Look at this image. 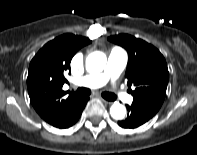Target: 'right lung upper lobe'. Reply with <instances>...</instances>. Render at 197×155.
Masks as SVG:
<instances>
[{
  "label": "right lung upper lobe",
  "mask_w": 197,
  "mask_h": 155,
  "mask_svg": "<svg viewBox=\"0 0 197 155\" xmlns=\"http://www.w3.org/2000/svg\"><path fill=\"white\" fill-rule=\"evenodd\" d=\"M91 40L64 34L45 44L30 62L27 87L37 113L53 126L61 124L82 98L75 92L63 91L75 53Z\"/></svg>",
  "instance_id": "1"
}]
</instances>
